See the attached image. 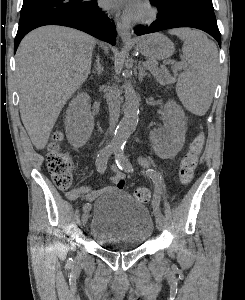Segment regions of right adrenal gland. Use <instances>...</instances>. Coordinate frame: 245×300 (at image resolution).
Masks as SVG:
<instances>
[{
	"mask_svg": "<svg viewBox=\"0 0 245 300\" xmlns=\"http://www.w3.org/2000/svg\"><path fill=\"white\" fill-rule=\"evenodd\" d=\"M95 71L97 72L98 75L102 74L104 68L102 64L100 63V57L96 56V66L94 67Z\"/></svg>",
	"mask_w": 245,
	"mask_h": 300,
	"instance_id": "right-adrenal-gland-1",
	"label": "right adrenal gland"
}]
</instances>
